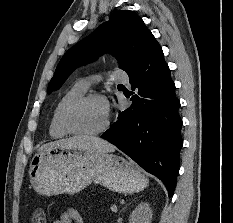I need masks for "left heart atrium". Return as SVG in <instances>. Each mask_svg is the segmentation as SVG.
Returning a JSON list of instances; mask_svg holds the SVG:
<instances>
[{
    "mask_svg": "<svg viewBox=\"0 0 233 223\" xmlns=\"http://www.w3.org/2000/svg\"><path fill=\"white\" fill-rule=\"evenodd\" d=\"M102 109L105 117L108 119L111 113V105L107 99H102Z\"/></svg>",
    "mask_w": 233,
    "mask_h": 223,
    "instance_id": "39dd6f15",
    "label": "left heart atrium"
}]
</instances>
